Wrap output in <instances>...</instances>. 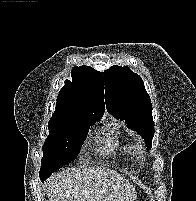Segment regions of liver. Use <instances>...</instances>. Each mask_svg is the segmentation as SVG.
<instances>
[{"label":"liver","instance_id":"1","mask_svg":"<svg viewBox=\"0 0 196 201\" xmlns=\"http://www.w3.org/2000/svg\"><path fill=\"white\" fill-rule=\"evenodd\" d=\"M49 201H134L135 189L116 171L105 167L66 170L47 180Z\"/></svg>","mask_w":196,"mask_h":201}]
</instances>
